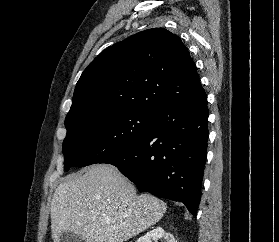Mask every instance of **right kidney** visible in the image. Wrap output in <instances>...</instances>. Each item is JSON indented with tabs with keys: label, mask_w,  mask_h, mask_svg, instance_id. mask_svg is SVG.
<instances>
[{
	"label": "right kidney",
	"mask_w": 279,
	"mask_h": 242,
	"mask_svg": "<svg viewBox=\"0 0 279 242\" xmlns=\"http://www.w3.org/2000/svg\"><path fill=\"white\" fill-rule=\"evenodd\" d=\"M165 239L167 242H177L174 236L164 231L160 226L148 231L144 236H141L136 242H157L159 239Z\"/></svg>",
	"instance_id": "ca27d5eb"
}]
</instances>
